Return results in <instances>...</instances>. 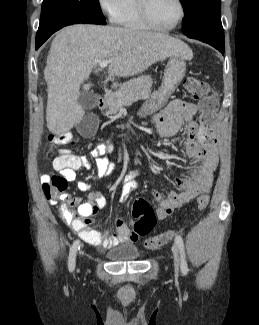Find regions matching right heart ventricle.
<instances>
[{
	"label": "right heart ventricle",
	"mask_w": 259,
	"mask_h": 325,
	"mask_svg": "<svg viewBox=\"0 0 259 325\" xmlns=\"http://www.w3.org/2000/svg\"><path fill=\"white\" fill-rule=\"evenodd\" d=\"M115 22L130 29L145 30L148 28L140 16L138 0H125L124 6L116 17Z\"/></svg>",
	"instance_id": "e07e8e85"
}]
</instances>
